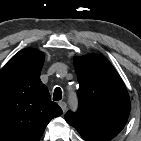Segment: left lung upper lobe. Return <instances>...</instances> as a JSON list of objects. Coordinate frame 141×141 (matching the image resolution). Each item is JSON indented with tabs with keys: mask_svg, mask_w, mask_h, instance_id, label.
Segmentation results:
<instances>
[{
	"mask_svg": "<svg viewBox=\"0 0 141 141\" xmlns=\"http://www.w3.org/2000/svg\"><path fill=\"white\" fill-rule=\"evenodd\" d=\"M80 106L65 115L86 141H110L125 126L130 109L127 89L110 62L98 54L74 58Z\"/></svg>",
	"mask_w": 141,
	"mask_h": 141,
	"instance_id": "5c2ea615",
	"label": "left lung upper lobe"
}]
</instances>
